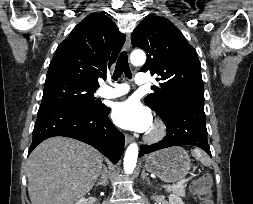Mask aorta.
Masks as SVG:
<instances>
[{
    "label": "aorta",
    "instance_id": "762f6f07",
    "mask_svg": "<svg viewBox=\"0 0 253 204\" xmlns=\"http://www.w3.org/2000/svg\"><path fill=\"white\" fill-rule=\"evenodd\" d=\"M131 63L135 66L143 65L146 61V55L142 50H135L130 56ZM138 157V145L132 143L128 146L124 157V170L126 173H132L135 169Z\"/></svg>",
    "mask_w": 253,
    "mask_h": 204
}]
</instances>
